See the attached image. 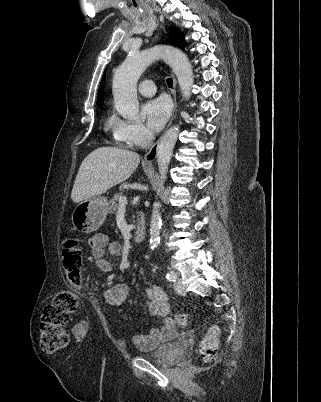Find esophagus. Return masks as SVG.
<instances>
[{"mask_svg": "<svg viewBox=\"0 0 321 402\" xmlns=\"http://www.w3.org/2000/svg\"><path fill=\"white\" fill-rule=\"evenodd\" d=\"M173 76V89H172V95H173V100H174V109H173V113L170 119V122L168 124V127L170 126L171 122L174 119V115H175V111H176V107H177V103H176V78L174 76V74H172ZM161 138L151 147V149L145 154L144 158H143V162L145 164L151 165L152 162L155 160L156 156H157V151H158V147H159V143H160Z\"/></svg>", "mask_w": 321, "mask_h": 402, "instance_id": "obj_1", "label": "esophagus"}]
</instances>
